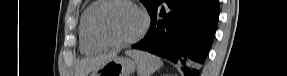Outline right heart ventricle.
Listing matches in <instances>:
<instances>
[{"label":"right heart ventricle","mask_w":287,"mask_h":76,"mask_svg":"<svg viewBox=\"0 0 287 76\" xmlns=\"http://www.w3.org/2000/svg\"><path fill=\"white\" fill-rule=\"evenodd\" d=\"M103 2V0H96L91 2L83 11L80 18L79 36H80V50L85 54H93L101 52L104 47L97 43L90 31V21L94 11Z\"/></svg>","instance_id":"obj_1"}]
</instances>
